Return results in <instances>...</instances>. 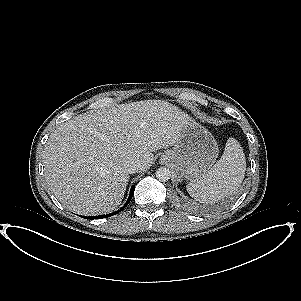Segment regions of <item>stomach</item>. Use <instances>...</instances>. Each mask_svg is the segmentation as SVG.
Segmentation results:
<instances>
[{"mask_svg":"<svg viewBox=\"0 0 301 301\" xmlns=\"http://www.w3.org/2000/svg\"><path fill=\"white\" fill-rule=\"evenodd\" d=\"M218 144L212 134L194 120L185 122L179 141L160 158L171 163L187 180H197L211 169L218 157Z\"/></svg>","mask_w":301,"mask_h":301,"instance_id":"0dacf381","label":"stomach"}]
</instances>
